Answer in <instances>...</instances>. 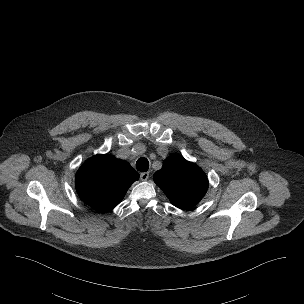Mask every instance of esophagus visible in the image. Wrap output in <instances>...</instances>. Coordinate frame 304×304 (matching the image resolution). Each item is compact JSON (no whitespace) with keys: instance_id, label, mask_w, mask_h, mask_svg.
Segmentation results:
<instances>
[{"instance_id":"1","label":"esophagus","mask_w":304,"mask_h":304,"mask_svg":"<svg viewBox=\"0 0 304 304\" xmlns=\"http://www.w3.org/2000/svg\"><path fill=\"white\" fill-rule=\"evenodd\" d=\"M148 178H149V172H143V173L140 174V179H141L142 181H145V180H147Z\"/></svg>"}]
</instances>
